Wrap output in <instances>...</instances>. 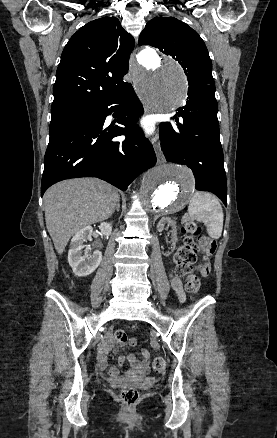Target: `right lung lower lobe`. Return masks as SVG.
I'll return each instance as SVG.
<instances>
[{
  "label": "right lung lower lobe",
  "instance_id": "right-lung-lower-lobe-1",
  "mask_svg": "<svg viewBox=\"0 0 277 438\" xmlns=\"http://www.w3.org/2000/svg\"><path fill=\"white\" fill-rule=\"evenodd\" d=\"M112 111L125 128L104 125ZM142 113V104L127 83L121 90L92 103L88 112L50 133L41 196L54 183L78 177H98L125 191L134 178L156 163L152 145L135 124ZM120 135L126 139L112 140Z\"/></svg>",
  "mask_w": 277,
  "mask_h": 438
}]
</instances>
